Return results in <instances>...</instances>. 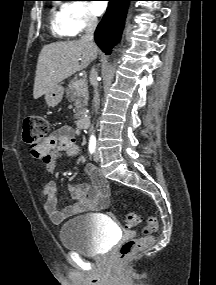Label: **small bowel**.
Instances as JSON below:
<instances>
[{
    "label": "small bowel",
    "instance_id": "c3829d8e",
    "mask_svg": "<svg viewBox=\"0 0 216 285\" xmlns=\"http://www.w3.org/2000/svg\"><path fill=\"white\" fill-rule=\"evenodd\" d=\"M54 151L56 155H53ZM61 156H80L76 135L70 126H62L47 136L40 145L37 157L43 159L48 173H54L56 158ZM84 173L90 179V184H70L68 190L74 203L63 209L58 208L57 187L54 182H48L41 190L40 199L53 223L60 224L72 216L108 206L110 188L107 181L93 165H86Z\"/></svg>",
    "mask_w": 216,
    "mask_h": 285
}]
</instances>
